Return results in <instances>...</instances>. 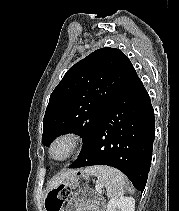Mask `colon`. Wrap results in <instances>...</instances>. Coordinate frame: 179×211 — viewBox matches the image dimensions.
Returning <instances> with one entry per match:
<instances>
[{"mask_svg": "<svg viewBox=\"0 0 179 211\" xmlns=\"http://www.w3.org/2000/svg\"><path fill=\"white\" fill-rule=\"evenodd\" d=\"M70 191L67 187L61 186L50 191L45 200L48 211H60Z\"/></svg>", "mask_w": 179, "mask_h": 211, "instance_id": "5ec220e1", "label": "colon"}]
</instances>
